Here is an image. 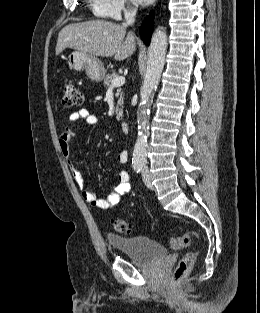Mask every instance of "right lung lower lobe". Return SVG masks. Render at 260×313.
<instances>
[{"instance_id": "98d812e1", "label": "right lung lower lobe", "mask_w": 260, "mask_h": 313, "mask_svg": "<svg viewBox=\"0 0 260 313\" xmlns=\"http://www.w3.org/2000/svg\"><path fill=\"white\" fill-rule=\"evenodd\" d=\"M153 12L150 13V17H147V19L142 23V26L140 27V36L143 39V41L149 45L150 39H151V33L153 30Z\"/></svg>"}]
</instances>
